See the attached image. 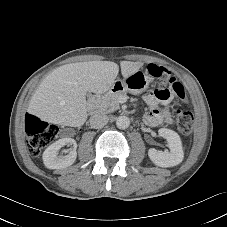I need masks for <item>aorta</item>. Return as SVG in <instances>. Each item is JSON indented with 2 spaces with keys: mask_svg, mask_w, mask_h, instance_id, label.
I'll list each match as a JSON object with an SVG mask.
<instances>
[{
  "mask_svg": "<svg viewBox=\"0 0 227 227\" xmlns=\"http://www.w3.org/2000/svg\"><path fill=\"white\" fill-rule=\"evenodd\" d=\"M130 125V119L127 116H119L116 119V126L119 129H126Z\"/></svg>",
  "mask_w": 227,
  "mask_h": 227,
  "instance_id": "obj_1",
  "label": "aorta"
}]
</instances>
